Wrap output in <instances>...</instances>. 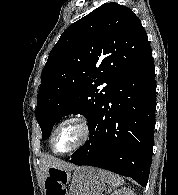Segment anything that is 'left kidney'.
<instances>
[{
    "instance_id": "obj_1",
    "label": "left kidney",
    "mask_w": 178,
    "mask_h": 195,
    "mask_svg": "<svg viewBox=\"0 0 178 195\" xmlns=\"http://www.w3.org/2000/svg\"><path fill=\"white\" fill-rule=\"evenodd\" d=\"M111 195H135V194L129 188H121L113 192Z\"/></svg>"
}]
</instances>
